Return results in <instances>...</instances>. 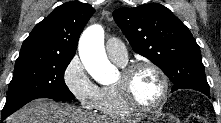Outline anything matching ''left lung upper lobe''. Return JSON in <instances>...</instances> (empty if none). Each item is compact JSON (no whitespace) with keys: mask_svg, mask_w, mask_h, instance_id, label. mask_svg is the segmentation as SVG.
Masks as SVG:
<instances>
[{"mask_svg":"<svg viewBox=\"0 0 221 123\" xmlns=\"http://www.w3.org/2000/svg\"><path fill=\"white\" fill-rule=\"evenodd\" d=\"M133 50L169 77L172 91L188 88L209 92L200 48L189 29L158 3L119 8L113 13Z\"/></svg>","mask_w":221,"mask_h":123,"instance_id":"1","label":"left lung upper lobe"}]
</instances>
